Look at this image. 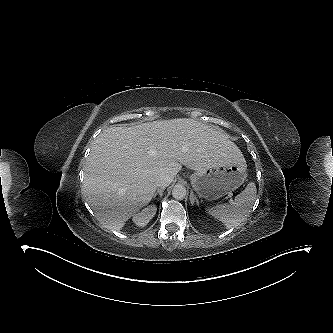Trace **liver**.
Here are the masks:
<instances>
[{
	"instance_id": "obj_1",
	"label": "liver",
	"mask_w": 333,
	"mask_h": 333,
	"mask_svg": "<svg viewBox=\"0 0 333 333\" xmlns=\"http://www.w3.org/2000/svg\"><path fill=\"white\" fill-rule=\"evenodd\" d=\"M243 158L220 129L193 119L110 126L95 139L86 162L83 193L105 227L120 230L153 198L159 175L176 176Z\"/></svg>"
}]
</instances>
